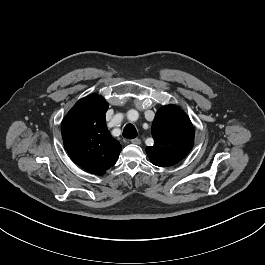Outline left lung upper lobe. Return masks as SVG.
<instances>
[{
    "label": "left lung upper lobe",
    "instance_id": "5c2ea615",
    "mask_svg": "<svg viewBox=\"0 0 265 265\" xmlns=\"http://www.w3.org/2000/svg\"><path fill=\"white\" fill-rule=\"evenodd\" d=\"M154 145L146 148L150 161L160 167L180 162L194 144V129L189 117L177 106L159 109L152 123Z\"/></svg>",
    "mask_w": 265,
    "mask_h": 265
}]
</instances>
